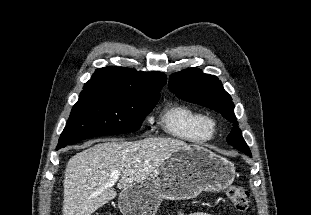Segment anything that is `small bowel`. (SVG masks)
Returning <instances> with one entry per match:
<instances>
[{
  "label": "small bowel",
  "instance_id": "obj_1",
  "mask_svg": "<svg viewBox=\"0 0 311 215\" xmlns=\"http://www.w3.org/2000/svg\"><path fill=\"white\" fill-rule=\"evenodd\" d=\"M178 215H212L210 213L204 212V211H197L189 214H184L182 212L178 213Z\"/></svg>",
  "mask_w": 311,
  "mask_h": 215
}]
</instances>
